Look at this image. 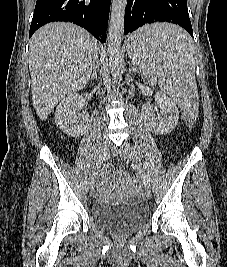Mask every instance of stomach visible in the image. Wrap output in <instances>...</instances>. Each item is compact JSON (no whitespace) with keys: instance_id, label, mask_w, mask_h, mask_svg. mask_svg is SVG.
I'll list each match as a JSON object with an SVG mask.
<instances>
[{"instance_id":"1","label":"stomach","mask_w":227,"mask_h":267,"mask_svg":"<svg viewBox=\"0 0 227 267\" xmlns=\"http://www.w3.org/2000/svg\"><path fill=\"white\" fill-rule=\"evenodd\" d=\"M137 31H139V30H137ZM128 38H132V36H129ZM128 57H129V55H128ZM135 65H136V63H134Z\"/></svg>"}]
</instances>
